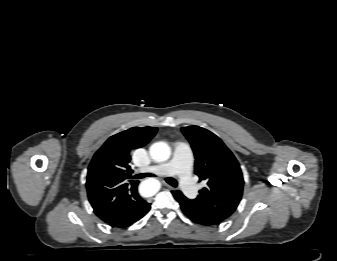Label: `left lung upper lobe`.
Masks as SVG:
<instances>
[{"label":"left lung upper lobe","instance_id":"5c2ea615","mask_svg":"<svg viewBox=\"0 0 337 261\" xmlns=\"http://www.w3.org/2000/svg\"><path fill=\"white\" fill-rule=\"evenodd\" d=\"M195 155V173L207 186L199 191L193 206L221 221L237 208L243 191V176L232 152L215 134L198 126L181 128Z\"/></svg>","mask_w":337,"mask_h":261}]
</instances>
